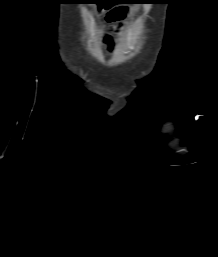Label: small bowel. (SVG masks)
Segmentation results:
<instances>
[{
	"label": "small bowel",
	"mask_w": 218,
	"mask_h": 257,
	"mask_svg": "<svg viewBox=\"0 0 218 257\" xmlns=\"http://www.w3.org/2000/svg\"><path fill=\"white\" fill-rule=\"evenodd\" d=\"M124 11V10H123ZM125 12V11H124ZM103 42L104 44L109 48V49H112V46H113V42H112V39H111V36L108 35V34H105L103 36Z\"/></svg>",
	"instance_id": "small-bowel-1"
}]
</instances>
